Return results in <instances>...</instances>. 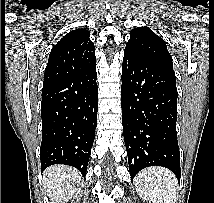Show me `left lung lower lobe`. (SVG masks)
Wrapping results in <instances>:
<instances>
[{
	"mask_svg": "<svg viewBox=\"0 0 214 203\" xmlns=\"http://www.w3.org/2000/svg\"><path fill=\"white\" fill-rule=\"evenodd\" d=\"M122 122L131 181L143 168L163 166L181 177L174 71L124 53Z\"/></svg>",
	"mask_w": 214,
	"mask_h": 203,
	"instance_id": "left-lung-lower-lobe-1",
	"label": "left lung lower lobe"
}]
</instances>
